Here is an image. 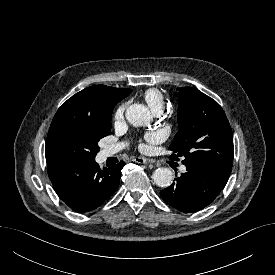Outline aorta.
Wrapping results in <instances>:
<instances>
[{
	"mask_svg": "<svg viewBox=\"0 0 275 275\" xmlns=\"http://www.w3.org/2000/svg\"><path fill=\"white\" fill-rule=\"evenodd\" d=\"M127 121L133 126H147L151 122V114L147 107L142 104L130 105L125 113ZM152 178L159 187H168L173 179V173L169 168H157Z\"/></svg>",
	"mask_w": 275,
	"mask_h": 275,
	"instance_id": "obj_1",
	"label": "aorta"
}]
</instances>
